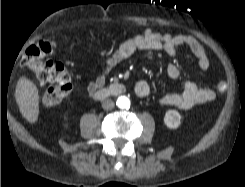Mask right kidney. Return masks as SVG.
<instances>
[{
	"mask_svg": "<svg viewBox=\"0 0 245 187\" xmlns=\"http://www.w3.org/2000/svg\"><path fill=\"white\" fill-rule=\"evenodd\" d=\"M67 120H68V117L65 116V117H64V121H65V123H64V128H66V129L68 128V123H66Z\"/></svg>",
	"mask_w": 245,
	"mask_h": 187,
	"instance_id": "obj_1",
	"label": "right kidney"
}]
</instances>
